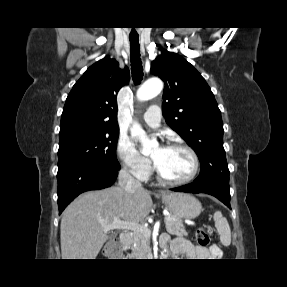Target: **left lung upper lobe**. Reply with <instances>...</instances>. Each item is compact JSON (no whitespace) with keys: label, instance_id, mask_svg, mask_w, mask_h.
<instances>
[{"label":"left lung upper lobe","instance_id":"left-lung-upper-lobe-1","mask_svg":"<svg viewBox=\"0 0 287 287\" xmlns=\"http://www.w3.org/2000/svg\"><path fill=\"white\" fill-rule=\"evenodd\" d=\"M151 73L165 83L162 113L167 124L200 160L201 171L194 182L229 185L221 112L205 79L187 60L167 50L152 62Z\"/></svg>","mask_w":287,"mask_h":287}]
</instances>
